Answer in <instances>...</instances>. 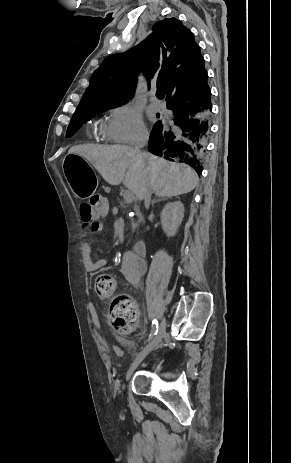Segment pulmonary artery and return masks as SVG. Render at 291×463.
Masks as SVG:
<instances>
[{"label": "pulmonary artery", "instance_id": "obj_1", "mask_svg": "<svg viewBox=\"0 0 291 463\" xmlns=\"http://www.w3.org/2000/svg\"><path fill=\"white\" fill-rule=\"evenodd\" d=\"M151 107L152 109H154L155 111H162L164 109V104L159 101V100H154L152 103H151Z\"/></svg>", "mask_w": 291, "mask_h": 463}]
</instances>
